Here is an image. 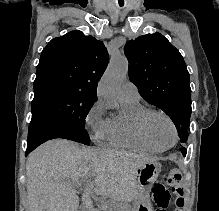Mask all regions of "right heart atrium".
Listing matches in <instances>:
<instances>
[{
  "label": "right heart atrium",
  "mask_w": 219,
  "mask_h": 211,
  "mask_svg": "<svg viewBox=\"0 0 219 211\" xmlns=\"http://www.w3.org/2000/svg\"><path fill=\"white\" fill-rule=\"evenodd\" d=\"M111 118L107 116V110L104 104L97 100L89 108L85 124L91 133L94 143L101 144L108 139L110 133Z\"/></svg>",
  "instance_id": "d8ad5b80"
}]
</instances>
